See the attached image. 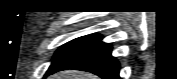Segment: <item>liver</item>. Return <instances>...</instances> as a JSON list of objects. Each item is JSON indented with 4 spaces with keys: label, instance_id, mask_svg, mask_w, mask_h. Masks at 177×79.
<instances>
[{
    "label": "liver",
    "instance_id": "1",
    "mask_svg": "<svg viewBox=\"0 0 177 79\" xmlns=\"http://www.w3.org/2000/svg\"><path fill=\"white\" fill-rule=\"evenodd\" d=\"M51 79H97L96 76L82 71L65 70L51 76Z\"/></svg>",
    "mask_w": 177,
    "mask_h": 79
}]
</instances>
